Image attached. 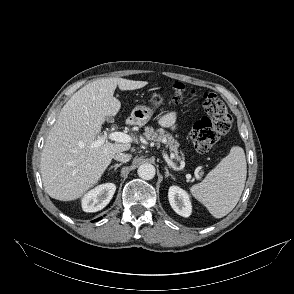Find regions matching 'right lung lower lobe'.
Here are the masks:
<instances>
[{
  "label": "right lung lower lobe",
  "instance_id": "98d812e1",
  "mask_svg": "<svg viewBox=\"0 0 294 294\" xmlns=\"http://www.w3.org/2000/svg\"><path fill=\"white\" fill-rule=\"evenodd\" d=\"M100 218H98V219H96V220H94V221H97V220H99Z\"/></svg>",
  "mask_w": 294,
  "mask_h": 294
}]
</instances>
